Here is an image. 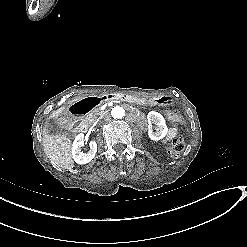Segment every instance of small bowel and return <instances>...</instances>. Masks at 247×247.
Returning a JSON list of instances; mask_svg holds the SVG:
<instances>
[{
	"label": "small bowel",
	"instance_id": "small-bowel-1",
	"mask_svg": "<svg viewBox=\"0 0 247 247\" xmlns=\"http://www.w3.org/2000/svg\"><path fill=\"white\" fill-rule=\"evenodd\" d=\"M177 134H178V127H177L176 124H174L170 128V130H169V132H168V134H167V136H166L164 141L167 142V141L173 140L177 136Z\"/></svg>",
	"mask_w": 247,
	"mask_h": 247
}]
</instances>
